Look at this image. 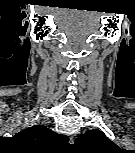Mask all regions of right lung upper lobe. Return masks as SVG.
<instances>
[{"instance_id": "cb5924a9", "label": "right lung upper lobe", "mask_w": 135, "mask_h": 153, "mask_svg": "<svg viewBox=\"0 0 135 153\" xmlns=\"http://www.w3.org/2000/svg\"><path fill=\"white\" fill-rule=\"evenodd\" d=\"M18 139L25 143L37 146L46 147L58 142H67L68 137L65 135L57 134L51 129L38 125L32 126L22 130L15 135Z\"/></svg>"}]
</instances>
